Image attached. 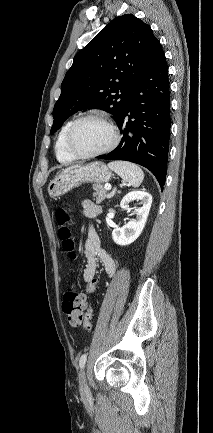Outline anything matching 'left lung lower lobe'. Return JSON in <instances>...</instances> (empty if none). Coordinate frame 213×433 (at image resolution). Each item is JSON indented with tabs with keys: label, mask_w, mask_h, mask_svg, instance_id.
<instances>
[{
	"label": "left lung lower lobe",
	"mask_w": 213,
	"mask_h": 433,
	"mask_svg": "<svg viewBox=\"0 0 213 433\" xmlns=\"http://www.w3.org/2000/svg\"><path fill=\"white\" fill-rule=\"evenodd\" d=\"M118 127L123 133L118 147L97 158L142 165L154 174L162 189L171 127L168 66L162 46L134 86Z\"/></svg>",
	"instance_id": "0a47b994"
}]
</instances>
